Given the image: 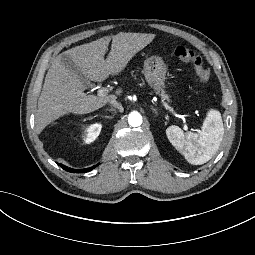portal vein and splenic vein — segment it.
Segmentation results:
<instances>
[{
    "instance_id": "18ae733b",
    "label": "portal vein and splenic vein",
    "mask_w": 255,
    "mask_h": 255,
    "mask_svg": "<svg viewBox=\"0 0 255 255\" xmlns=\"http://www.w3.org/2000/svg\"><path fill=\"white\" fill-rule=\"evenodd\" d=\"M107 93H108V89H106V88H101V89L98 90L97 95L100 96V97H104V96L107 95ZM164 106H165V108L168 109L170 112L174 113L173 108L170 107L167 103L164 102ZM174 115H175L176 117H178V118H181V119L183 120V123H184V130H187L188 127H187V125H186V122H185V119L183 118V116H182V115H179V114H176V113H174Z\"/></svg>"
}]
</instances>
